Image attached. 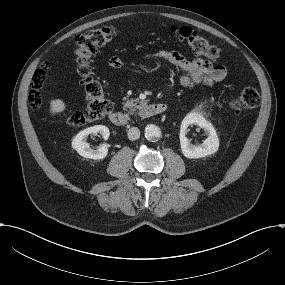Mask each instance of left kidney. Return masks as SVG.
<instances>
[{
    "label": "left kidney",
    "instance_id": "left-kidney-1",
    "mask_svg": "<svg viewBox=\"0 0 285 285\" xmlns=\"http://www.w3.org/2000/svg\"><path fill=\"white\" fill-rule=\"evenodd\" d=\"M195 124L204 129L208 137L200 146L190 144L184 133L188 125L183 123L180 133V147L182 154L188 159H201L214 156L219 150V140L213 125L205 119H198Z\"/></svg>",
    "mask_w": 285,
    "mask_h": 285
}]
</instances>
